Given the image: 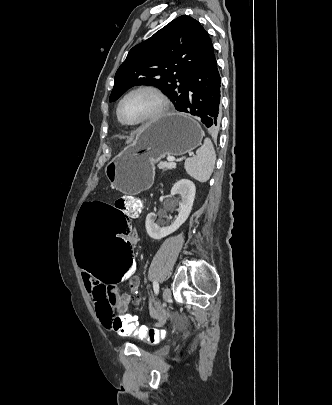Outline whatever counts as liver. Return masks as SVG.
Wrapping results in <instances>:
<instances>
[{
	"label": "liver",
	"mask_w": 332,
	"mask_h": 405,
	"mask_svg": "<svg viewBox=\"0 0 332 405\" xmlns=\"http://www.w3.org/2000/svg\"><path fill=\"white\" fill-rule=\"evenodd\" d=\"M140 132H142V129H139V130L136 132V137H137V135H138Z\"/></svg>",
	"instance_id": "1"
}]
</instances>
